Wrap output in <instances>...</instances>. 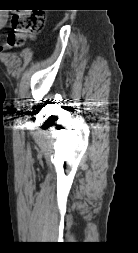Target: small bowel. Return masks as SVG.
<instances>
[{"mask_svg": "<svg viewBox=\"0 0 138 253\" xmlns=\"http://www.w3.org/2000/svg\"><path fill=\"white\" fill-rule=\"evenodd\" d=\"M6 24V15L0 14V30L4 28ZM7 46L5 44H0V52L4 51Z\"/></svg>", "mask_w": 138, "mask_h": 253, "instance_id": "obj_1", "label": "small bowel"}]
</instances>
